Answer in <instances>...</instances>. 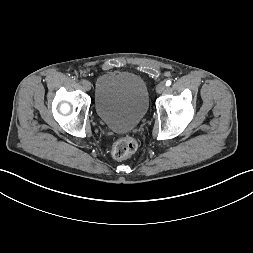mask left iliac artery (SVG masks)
Returning a JSON list of instances; mask_svg holds the SVG:
<instances>
[{"mask_svg":"<svg viewBox=\"0 0 253 253\" xmlns=\"http://www.w3.org/2000/svg\"><path fill=\"white\" fill-rule=\"evenodd\" d=\"M166 85H167V86H170V85H171V81H170V80H167V81H166Z\"/></svg>","mask_w":253,"mask_h":253,"instance_id":"1","label":"left iliac artery"}]
</instances>
